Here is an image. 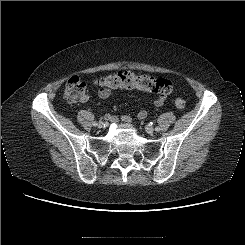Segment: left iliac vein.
I'll return each mask as SVG.
<instances>
[{
	"instance_id": "1",
	"label": "left iliac vein",
	"mask_w": 245,
	"mask_h": 245,
	"mask_svg": "<svg viewBox=\"0 0 245 245\" xmlns=\"http://www.w3.org/2000/svg\"><path fill=\"white\" fill-rule=\"evenodd\" d=\"M145 130L148 134H153L154 133V128L150 125L145 126Z\"/></svg>"
}]
</instances>
